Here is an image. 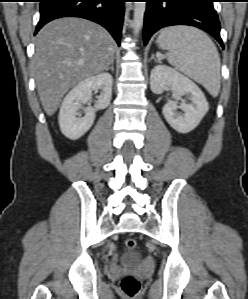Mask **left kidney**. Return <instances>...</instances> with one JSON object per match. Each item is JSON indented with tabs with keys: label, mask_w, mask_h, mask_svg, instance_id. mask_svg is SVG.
<instances>
[{
	"label": "left kidney",
	"mask_w": 248,
	"mask_h": 299,
	"mask_svg": "<svg viewBox=\"0 0 248 299\" xmlns=\"http://www.w3.org/2000/svg\"><path fill=\"white\" fill-rule=\"evenodd\" d=\"M150 87L153 93L162 94L170 88L174 94L188 95L190 104L178 106L168 101L163 107V115L169 125L179 133H189L198 126L209 109L208 102L200 88L189 78L165 65L155 66L150 75ZM180 108L184 114L176 110Z\"/></svg>",
	"instance_id": "5707ae66"
}]
</instances>
